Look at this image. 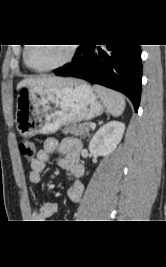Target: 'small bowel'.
Returning a JSON list of instances; mask_svg holds the SVG:
<instances>
[{"mask_svg": "<svg viewBox=\"0 0 166 267\" xmlns=\"http://www.w3.org/2000/svg\"><path fill=\"white\" fill-rule=\"evenodd\" d=\"M81 141L77 138L67 137L61 141L55 138H48L44 145L37 151L36 157L30 163L28 175L30 183L38 185L42 179V172L45 170L51 155L59 153L62 157L58 161V166L69 172L72 177V184L68 188L67 195L72 202H79L83 193L81 177L84 168L80 163ZM58 212V205L54 202L43 203L39 210L32 214L36 222H42L52 217Z\"/></svg>", "mask_w": 166, "mask_h": 267, "instance_id": "small-bowel-1", "label": "small bowel"}]
</instances>
